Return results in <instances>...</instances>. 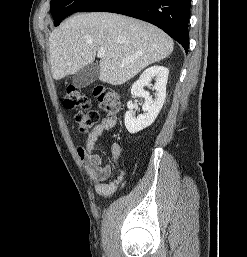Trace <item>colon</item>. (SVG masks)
I'll return each mask as SVG.
<instances>
[{"label": "colon", "mask_w": 247, "mask_h": 257, "mask_svg": "<svg viewBox=\"0 0 247 257\" xmlns=\"http://www.w3.org/2000/svg\"><path fill=\"white\" fill-rule=\"evenodd\" d=\"M93 94L100 108L109 117H114L119 112L120 100L116 91L104 85H97ZM63 104L67 109L75 111V121L82 132L93 129L99 119V113L91 107L90 100L78 87L70 85L66 88Z\"/></svg>", "instance_id": "5ec220e1"}]
</instances>
